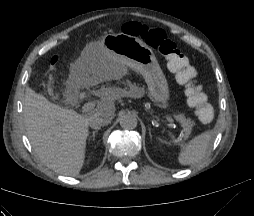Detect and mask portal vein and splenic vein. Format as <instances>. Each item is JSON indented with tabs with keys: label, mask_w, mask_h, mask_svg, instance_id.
<instances>
[{
	"label": "portal vein and splenic vein",
	"mask_w": 254,
	"mask_h": 216,
	"mask_svg": "<svg viewBox=\"0 0 254 216\" xmlns=\"http://www.w3.org/2000/svg\"><path fill=\"white\" fill-rule=\"evenodd\" d=\"M95 107V104L93 102H89V103H86L82 106V113H86L92 109H94ZM165 119L169 122V123H172L174 124L175 123V120L172 118V117H169V116H165Z\"/></svg>",
	"instance_id": "18ae733b"
}]
</instances>
